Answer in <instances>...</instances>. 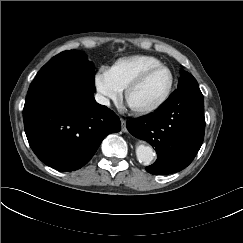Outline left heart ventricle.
I'll use <instances>...</instances> for the list:
<instances>
[{
    "label": "left heart ventricle",
    "instance_id": "1",
    "mask_svg": "<svg viewBox=\"0 0 243 243\" xmlns=\"http://www.w3.org/2000/svg\"><path fill=\"white\" fill-rule=\"evenodd\" d=\"M169 84V73L165 69L151 72L129 96V104L140 108L158 101L165 93Z\"/></svg>",
    "mask_w": 243,
    "mask_h": 243
}]
</instances>
